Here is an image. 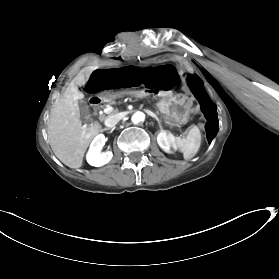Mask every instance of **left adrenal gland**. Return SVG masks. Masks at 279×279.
<instances>
[{
    "label": "left adrenal gland",
    "mask_w": 279,
    "mask_h": 279,
    "mask_svg": "<svg viewBox=\"0 0 279 279\" xmlns=\"http://www.w3.org/2000/svg\"><path fill=\"white\" fill-rule=\"evenodd\" d=\"M155 119H156V121H157V123H158V126H159L160 130H161L162 127H161V123H160L159 119H158L157 117H155Z\"/></svg>",
    "instance_id": "1"
}]
</instances>
